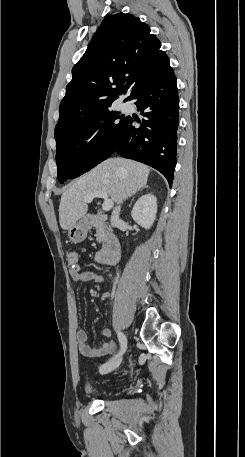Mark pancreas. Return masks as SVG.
I'll return each mask as SVG.
<instances>
[{"label":"pancreas","instance_id":"pancreas-1","mask_svg":"<svg viewBox=\"0 0 245 457\" xmlns=\"http://www.w3.org/2000/svg\"><path fill=\"white\" fill-rule=\"evenodd\" d=\"M95 229H96V241L97 243H104L105 241V235H106V229L103 224V222H95L94 224Z\"/></svg>","mask_w":245,"mask_h":457}]
</instances>
